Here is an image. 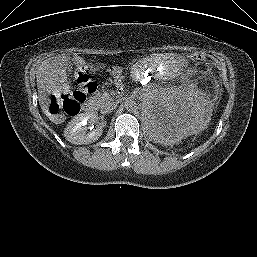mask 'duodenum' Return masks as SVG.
Here are the masks:
<instances>
[{
  "label": "duodenum",
  "instance_id": "410a0bca",
  "mask_svg": "<svg viewBox=\"0 0 257 257\" xmlns=\"http://www.w3.org/2000/svg\"><path fill=\"white\" fill-rule=\"evenodd\" d=\"M118 99H119V100H122L123 97L120 96V97H118ZM83 110H84L86 113H88V114L93 113L94 110H95V105H94V103H93V102H88V103H86V104L84 105V107H83Z\"/></svg>",
  "mask_w": 257,
  "mask_h": 257
}]
</instances>
